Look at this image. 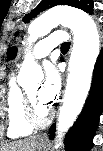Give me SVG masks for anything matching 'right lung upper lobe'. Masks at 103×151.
Returning a JSON list of instances; mask_svg holds the SVG:
<instances>
[{
	"label": "right lung upper lobe",
	"instance_id": "1",
	"mask_svg": "<svg viewBox=\"0 0 103 151\" xmlns=\"http://www.w3.org/2000/svg\"><path fill=\"white\" fill-rule=\"evenodd\" d=\"M16 56V48H9L7 52V59H13Z\"/></svg>",
	"mask_w": 103,
	"mask_h": 151
}]
</instances>
